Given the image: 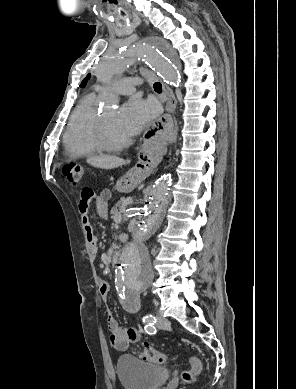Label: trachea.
Listing matches in <instances>:
<instances>
[{"label":"trachea","instance_id":"1","mask_svg":"<svg viewBox=\"0 0 296 389\" xmlns=\"http://www.w3.org/2000/svg\"><path fill=\"white\" fill-rule=\"evenodd\" d=\"M153 88L154 90L157 92V93H161L162 92V85L161 83L159 82H156L153 84Z\"/></svg>","mask_w":296,"mask_h":389}]
</instances>
